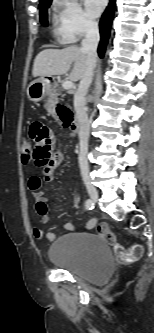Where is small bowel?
Instances as JSON below:
<instances>
[{"label":"small bowel","mask_w":154,"mask_h":333,"mask_svg":"<svg viewBox=\"0 0 154 333\" xmlns=\"http://www.w3.org/2000/svg\"><path fill=\"white\" fill-rule=\"evenodd\" d=\"M29 138L33 143L32 154L34 164L42 168L41 176H33L29 179V188L32 191L36 201V211L41 217L43 224L49 223L48 203L44 192L40 189L42 182H51L54 179L55 169L62 163L63 154L55 147V136L50 128L41 122H33L29 128ZM96 224V220H90L86 228L92 229ZM64 228L67 231L75 230V226L71 223H65ZM33 235L36 239H46L53 242L56 235L47 232L42 228L35 227Z\"/></svg>","instance_id":"c3829d8e"}]
</instances>
